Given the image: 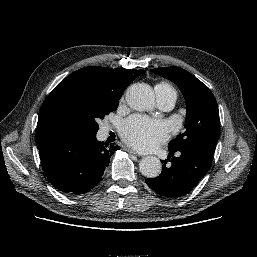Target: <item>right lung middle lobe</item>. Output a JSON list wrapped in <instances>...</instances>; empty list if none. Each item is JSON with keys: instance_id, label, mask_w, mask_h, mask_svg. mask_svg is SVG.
Returning <instances> with one entry per match:
<instances>
[{"instance_id": "dd1d6c3e", "label": "right lung middle lobe", "mask_w": 257, "mask_h": 257, "mask_svg": "<svg viewBox=\"0 0 257 257\" xmlns=\"http://www.w3.org/2000/svg\"><path fill=\"white\" fill-rule=\"evenodd\" d=\"M120 98L101 94L87 86L72 90L67 97L66 109L75 134H96L97 121L115 111Z\"/></svg>"}]
</instances>
